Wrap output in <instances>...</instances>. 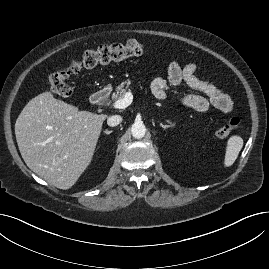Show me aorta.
I'll return each mask as SVG.
<instances>
[{
  "label": "aorta",
  "mask_w": 269,
  "mask_h": 269,
  "mask_svg": "<svg viewBox=\"0 0 269 269\" xmlns=\"http://www.w3.org/2000/svg\"><path fill=\"white\" fill-rule=\"evenodd\" d=\"M132 136L136 139H141L145 136L146 127L142 122H135L131 127Z\"/></svg>",
  "instance_id": "1"
}]
</instances>
